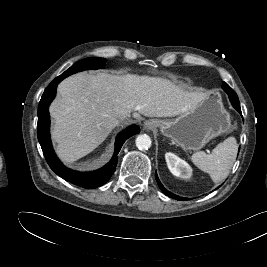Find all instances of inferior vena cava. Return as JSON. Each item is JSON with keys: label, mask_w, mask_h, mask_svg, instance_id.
<instances>
[{"label": "inferior vena cava", "mask_w": 267, "mask_h": 267, "mask_svg": "<svg viewBox=\"0 0 267 267\" xmlns=\"http://www.w3.org/2000/svg\"><path fill=\"white\" fill-rule=\"evenodd\" d=\"M127 116H129V114H122V115H120V118H125V117H127Z\"/></svg>", "instance_id": "inferior-vena-cava-1"}]
</instances>
